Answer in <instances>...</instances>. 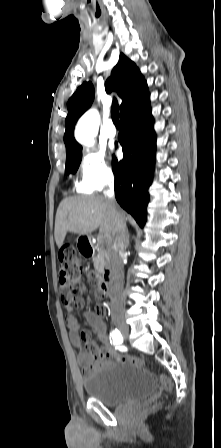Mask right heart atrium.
<instances>
[{
	"mask_svg": "<svg viewBox=\"0 0 221 448\" xmlns=\"http://www.w3.org/2000/svg\"><path fill=\"white\" fill-rule=\"evenodd\" d=\"M114 172L106 155L102 152L86 151L80 162L79 190L93 192L112 183Z\"/></svg>",
	"mask_w": 221,
	"mask_h": 448,
	"instance_id": "1",
	"label": "right heart atrium"
}]
</instances>
